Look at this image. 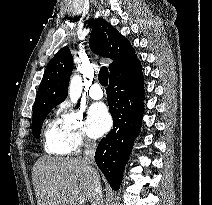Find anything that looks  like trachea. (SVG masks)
<instances>
[{"label":"trachea","instance_id":"1","mask_svg":"<svg viewBox=\"0 0 212 205\" xmlns=\"http://www.w3.org/2000/svg\"><path fill=\"white\" fill-rule=\"evenodd\" d=\"M98 79L102 86L108 85V69L106 67L100 69Z\"/></svg>","mask_w":212,"mask_h":205}]
</instances>
